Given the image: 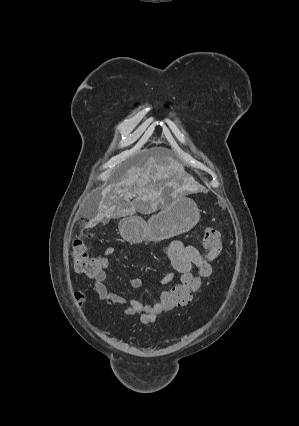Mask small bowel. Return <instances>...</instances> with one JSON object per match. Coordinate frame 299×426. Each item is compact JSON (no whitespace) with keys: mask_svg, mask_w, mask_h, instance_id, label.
<instances>
[{"mask_svg":"<svg viewBox=\"0 0 299 426\" xmlns=\"http://www.w3.org/2000/svg\"><path fill=\"white\" fill-rule=\"evenodd\" d=\"M115 252L113 246L107 247L103 255L99 257L101 262V271L93 278L94 290L98 298L108 306L122 305L125 307V314L132 316L141 313V322L148 324L154 322L158 315L166 312L163 306L159 302L147 303L137 298H125L118 293L109 292L106 288L105 281L107 278L106 269L109 266V256ZM166 255L169 258L173 271L165 274L160 280L159 284L170 288L175 284V280L178 274L191 273L192 268L197 269L194 277L197 282L195 293L200 289L202 280L208 278L212 274V266L199 252V250L192 246L186 245L179 240H174L166 247ZM142 280L140 278H134L130 281L133 288H139L142 286Z\"/></svg>","mask_w":299,"mask_h":426,"instance_id":"small-bowel-1","label":"small bowel"}]
</instances>
